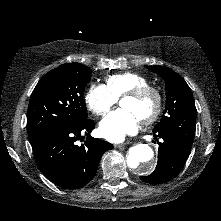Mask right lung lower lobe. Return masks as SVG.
Returning <instances> with one entry per match:
<instances>
[{"mask_svg":"<svg viewBox=\"0 0 221 221\" xmlns=\"http://www.w3.org/2000/svg\"><path fill=\"white\" fill-rule=\"evenodd\" d=\"M95 122L85 119L71 128L45 132L31 139L34 157L40 171L54 184L66 189L86 185L96 174L104 152L111 143L89 134ZM86 141L78 146V139Z\"/></svg>","mask_w":221,"mask_h":221,"instance_id":"1","label":"right lung lower lobe"}]
</instances>
